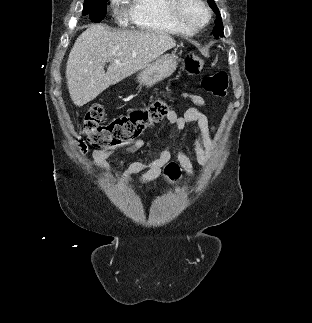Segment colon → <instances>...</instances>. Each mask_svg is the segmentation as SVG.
Instances as JSON below:
<instances>
[{"mask_svg":"<svg viewBox=\"0 0 312 323\" xmlns=\"http://www.w3.org/2000/svg\"><path fill=\"white\" fill-rule=\"evenodd\" d=\"M204 66V61L189 53L185 61L186 76L197 75ZM203 89L218 98L227 96L228 76L223 70H216L202 80ZM106 110L102 105H93L82 122V133L93 148L116 146L123 142L140 137L148 128L157 124L168 113V105L163 98L156 99L148 107L131 111L111 122H104ZM169 182L177 180L181 165L170 160L163 167Z\"/></svg>","mask_w":312,"mask_h":323,"instance_id":"colon-1","label":"colon"}]
</instances>
